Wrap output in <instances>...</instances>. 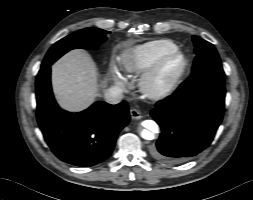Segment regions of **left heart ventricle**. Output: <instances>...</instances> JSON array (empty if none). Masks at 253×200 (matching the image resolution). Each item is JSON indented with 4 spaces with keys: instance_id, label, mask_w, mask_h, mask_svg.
<instances>
[{
    "instance_id": "b2bd125f",
    "label": "left heart ventricle",
    "mask_w": 253,
    "mask_h": 200,
    "mask_svg": "<svg viewBox=\"0 0 253 200\" xmlns=\"http://www.w3.org/2000/svg\"><path fill=\"white\" fill-rule=\"evenodd\" d=\"M179 65H180L179 59L173 58V59L169 60L162 69L160 79L164 80V79H167L168 77H170L172 74H174L176 72Z\"/></svg>"
}]
</instances>
